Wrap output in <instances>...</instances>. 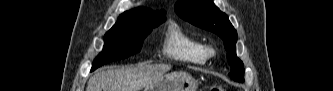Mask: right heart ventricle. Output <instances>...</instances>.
Returning <instances> with one entry per match:
<instances>
[{"label":"right heart ventricle","mask_w":333,"mask_h":91,"mask_svg":"<svg viewBox=\"0 0 333 91\" xmlns=\"http://www.w3.org/2000/svg\"><path fill=\"white\" fill-rule=\"evenodd\" d=\"M163 51L171 59L192 65H204L208 58L204 41L184 31L176 23H171L167 28Z\"/></svg>","instance_id":"1"}]
</instances>
